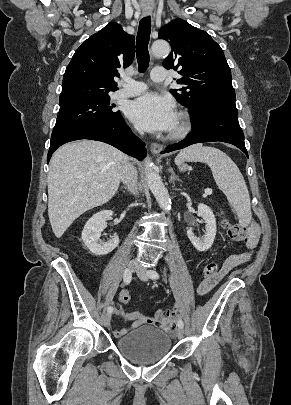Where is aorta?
I'll use <instances>...</instances> for the list:
<instances>
[{
	"instance_id": "obj_1",
	"label": "aorta",
	"mask_w": 291,
	"mask_h": 405,
	"mask_svg": "<svg viewBox=\"0 0 291 405\" xmlns=\"http://www.w3.org/2000/svg\"><path fill=\"white\" fill-rule=\"evenodd\" d=\"M152 53L155 57L167 56L170 53V45L167 41L157 40L152 44ZM146 177L150 191L154 195L159 206L166 212L171 210V199L168 190L164 186L160 176L153 170V163L147 157L145 160Z\"/></svg>"
}]
</instances>
